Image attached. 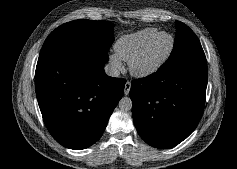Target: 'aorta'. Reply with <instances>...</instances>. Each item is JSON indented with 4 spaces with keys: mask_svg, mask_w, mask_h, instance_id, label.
Returning a JSON list of instances; mask_svg holds the SVG:
<instances>
[{
    "mask_svg": "<svg viewBox=\"0 0 237 169\" xmlns=\"http://www.w3.org/2000/svg\"><path fill=\"white\" fill-rule=\"evenodd\" d=\"M119 109L122 111H129L132 109L133 103L129 97H123L118 103Z\"/></svg>",
    "mask_w": 237,
    "mask_h": 169,
    "instance_id": "obj_1",
    "label": "aorta"
}]
</instances>
